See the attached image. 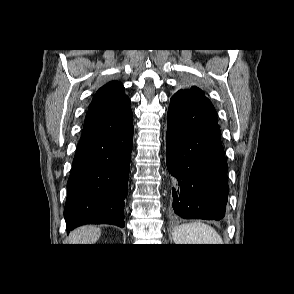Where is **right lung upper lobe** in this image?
Wrapping results in <instances>:
<instances>
[{
    "label": "right lung upper lobe",
    "instance_id": "obj_1",
    "mask_svg": "<svg viewBox=\"0 0 294 294\" xmlns=\"http://www.w3.org/2000/svg\"><path fill=\"white\" fill-rule=\"evenodd\" d=\"M126 98L128 97L124 94L123 85L118 81H111L97 91L89 105V110L110 107Z\"/></svg>",
    "mask_w": 294,
    "mask_h": 294
}]
</instances>
